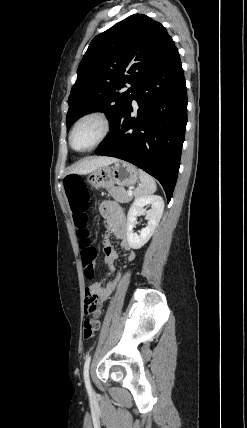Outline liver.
<instances>
[{
	"mask_svg": "<svg viewBox=\"0 0 247 428\" xmlns=\"http://www.w3.org/2000/svg\"><path fill=\"white\" fill-rule=\"evenodd\" d=\"M118 159L113 157L100 156L95 158H90L83 160L79 164H77L72 170L71 173L77 174H88L93 172L94 170L101 168L103 166L110 165L112 163L117 162Z\"/></svg>",
	"mask_w": 247,
	"mask_h": 428,
	"instance_id": "1",
	"label": "liver"
}]
</instances>
